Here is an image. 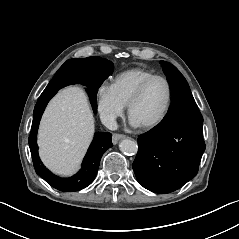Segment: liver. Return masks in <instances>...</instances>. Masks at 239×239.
<instances>
[{
  "instance_id": "1",
  "label": "liver",
  "mask_w": 239,
  "mask_h": 239,
  "mask_svg": "<svg viewBox=\"0 0 239 239\" xmlns=\"http://www.w3.org/2000/svg\"><path fill=\"white\" fill-rule=\"evenodd\" d=\"M93 130V116L83 92L68 88L59 93L49 103L40 124L38 143L44 163L58 173H72Z\"/></svg>"
}]
</instances>
